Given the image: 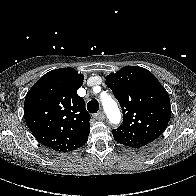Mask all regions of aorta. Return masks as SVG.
<instances>
[{"label":"aorta","instance_id":"1","mask_svg":"<svg viewBox=\"0 0 196 196\" xmlns=\"http://www.w3.org/2000/svg\"><path fill=\"white\" fill-rule=\"evenodd\" d=\"M101 102L109 119L115 123L119 122L121 118L120 111L116 102L112 99V97L108 95L104 96L102 97Z\"/></svg>","mask_w":196,"mask_h":196}]
</instances>
